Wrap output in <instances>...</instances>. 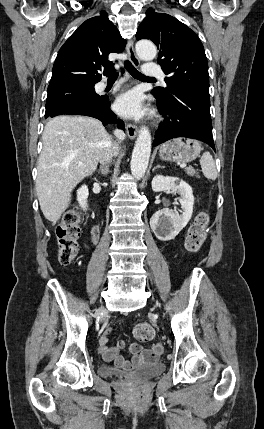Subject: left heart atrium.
I'll return each mask as SVG.
<instances>
[{"instance_id":"1","label":"left heart atrium","mask_w":264,"mask_h":429,"mask_svg":"<svg viewBox=\"0 0 264 429\" xmlns=\"http://www.w3.org/2000/svg\"><path fill=\"white\" fill-rule=\"evenodd\" d=\"M115 111L128 118H138L145 112L142 97L137 91H129L120 95L115 101Z\"/></svg>"}]
</instances>
